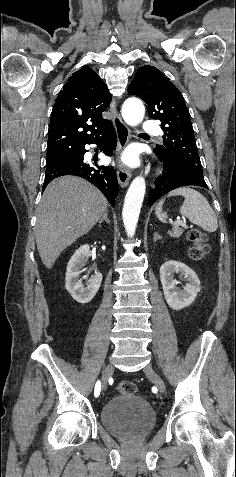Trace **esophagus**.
<instances>
[{"label":"esophagus","instance_id":"esophagus-1","mask_svg":"<svg viewBox=\"0 0 236 477\" xmlns=\"http://www.w3.org/2000/svg\"><path fill=\"white\" fill-rule=\"evenodd\" d=\"M110 110L113 114V125L116 130L117 138H118V149L121 151L124 147L128 144L129 139L131 137L130 129L125 125L122 121L120 114L117 111L115 103L111 104ZM131 172L126 167L119 165L117 170V178L119 184L122 187H125L129 180L131 179Z\"/></svg>","mask_w":236,"mask_h":477}]
</instances>
